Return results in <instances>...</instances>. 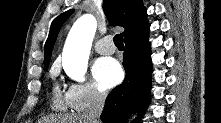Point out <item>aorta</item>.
I'll list each match as a JSON object with an SVG mask.
<instances>
[{
  "instance_id": "aorta-1",
  "label": "aorta",
  "mask_w": 221,
  "mask_h": 123,
  "mask_svg": "<svg viewBox=\"0 0 221 123\" xmlns=\"http://www.w3.org/2000/svg\"><path fill=\"white\" fill-rule=\"evenodd\" d=\"M96 19L91 14L81 16L73 24L62 53V66L69 77L83 82L91 45L96 32Z\"/></svg>"
}]
</instances>
